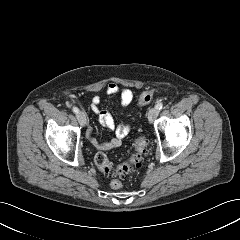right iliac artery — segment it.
<instances>
[{"label":"right iliac artery","mask_w":240,"mask_h":240,"mask_svg":"<svg viewBox=\"0 0 240 240\" xmlns=\"http://www.w3.org/2000/svg\"><path fill=\"white\" fill-rule=\"evenodd\" d=\"M73 112L75 113V114H78L79 113V109L77 108V107H73Z\"/></svg>","instance_id":"obj_1"}]
</instances>
